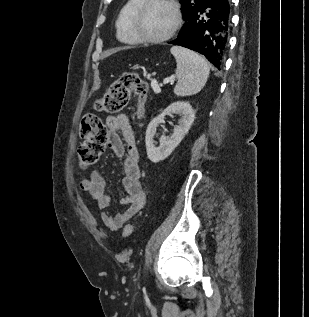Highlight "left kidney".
Segmentation results:
<instances>
[{
  "instance_id": "5707ae66",
  "label": "left kidney",
  "mask_w": 309,
  "mask_h": 317,
  "mask_svg": "<svg viewBox=\"0 0 309 317\" xmlns=\"http://www.w3.org/2000/svg\"><path fill=\"white\" fill-rule=\"evenodd\" d=\"M170 114H178L182 116V119L179 121V124L174 127L173 134L171 136L160 137L159 146H157V143L154 141L157 127L159 124L164 123L165 116ZM194 119L195 112L188 102L177 101L169 105L160 115L155 117L148 124L145 137L148 158L153 163L166 159L188 133Z\"/></svg>"
}]
</instances>
